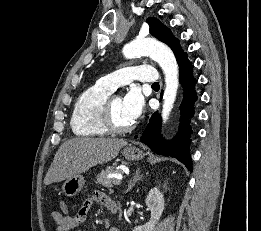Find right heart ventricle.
<instances>
[{"instance_id":"obj_1","label":"right heart ventricle","mask_w":261,"mask_h":231,"mask_svg":"<svg viewBox=\"0 0 261 231\" xmlns=\"http://www.w3.org/2000/svg\"><path fill=\"white\" fill-rule=\"evenodd\" d=\"M113 91L96 83L76 100L70 118L73 133L81 137H101L109 134L100 121L102 107Z\"/></svg>"}]
</instances>
